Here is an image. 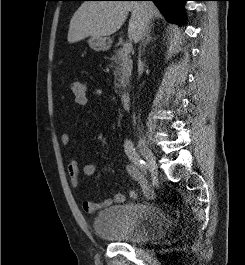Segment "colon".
Wrapping results in <instances>:
<instances>
[{
  "label": "colon",
  "instance_id": "obj_1",
  "mask_svg": "<svg viewBox=\"0 0 245 265\" xmlns=\"http://www.w3.org/2000/svg\"><path fill=\"white\" fill-rule=\"evenodd\" d=\"M70 93L73 101L78 106H85L88 103V93L86 85L78 80H74L70 84Z\"/></svg>",
  "mask_w": 245,
  "mask_h": 265
}]
</instances>
